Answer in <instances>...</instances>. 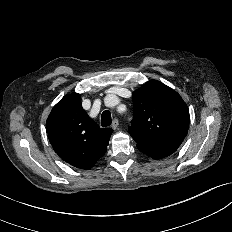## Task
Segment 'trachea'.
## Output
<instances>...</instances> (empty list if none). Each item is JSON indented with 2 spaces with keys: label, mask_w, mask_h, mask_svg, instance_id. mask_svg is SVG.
Listing matches in <instances>:
<instances>
[{
  "label": "trachea",
  "mask_w": 232,
  "mask_h": 232,
  "mask_svg": "<svg viewBox=\"0 0 232 232\" xmlns=\"http://www.w3.org/2000/svg\"><path fill=\"white\" fill-rule=\"evenodd\" d=\"M111 113L108 110H105L101 115V126L107 127L111 125Z\"/></svg>",
  "instance_id": "obj_1"
}]
</instances>
